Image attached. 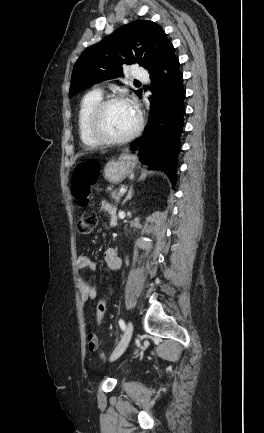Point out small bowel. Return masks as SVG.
<instances>
[{
    "label": "small bowel",
    "instance_id": "small-bowel-1",
    "mask_svg": "<svg viewBox=\"0 0 264 433\" xmlns=\"http://www.w3.org/2000/svg\"><path fill=\"white\" fill-rule=\"evenodd\" d=\"M100 210L105 212L109 216L110 224L115 225L117 221L116 210L108 201H101ZM104 260L106 265L113 270H117L122 266V259L118 255V252L114 248H110L104 253ZM77 265L79 269L94 271L96 268L95 263L86 255H80L77 260ZM78 286L80 292V300L85 307V305L96 298L97 288L95 285H91L84 281L82 278L78 279ZM111 290H108L107 296L110 297ZM99 347V339L93 334L89 333L87 338V348L90 352H95Z\"/></svg>",
    "mask_w": 264,
    "mask_h": 433
}]
</instances>
